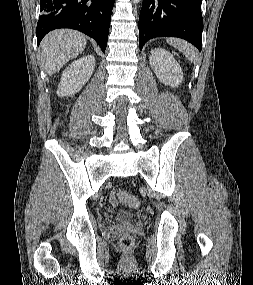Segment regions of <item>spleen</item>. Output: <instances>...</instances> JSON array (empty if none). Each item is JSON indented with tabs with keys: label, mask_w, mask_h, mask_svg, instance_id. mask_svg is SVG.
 Segmentation results:
<instances>
[{
	"label": "spleen",
	"mask_w": 253,
	"mask_h": 285,
	"mask_svg": "<svg viewBox=\"0 0 253 285\" xmlns=\"http://www.w3.org/2000/svg\"><path fill=\"white\" fill-rule=\"evenodd\" d=\"M167 42L177 48L179 51L183 52L185 57L191 62H199L198 53L195 47H193L188 42L177 38H168Z\"/></svg>",
	"instance_id": "obj_1"
}]
</instances>
